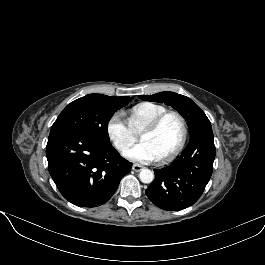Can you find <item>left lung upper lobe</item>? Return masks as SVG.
<instances>
[{"mask_svg":"<svg viewBox=\"0 0 265 265\" xmlns=\"http://www.w3.org/2000/svg\"><path fill=\"white\" fill-rule=\"evenodd\" d=\"M140 99L170 105L177 110L187 121L190 134L199 129L211 127V123L205 113L188 97L174 92H160L153 95H141Z\"/></svg>","mask_w":265,"mask_h":265,"instance_id":"left-lung-upper-lobe-1","label":"left lung upper lobe"}]
</instances>
